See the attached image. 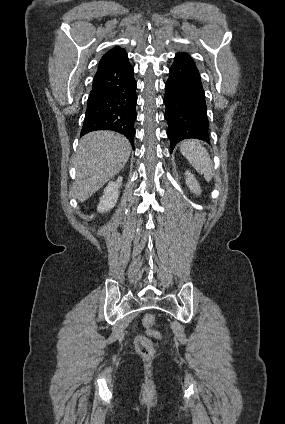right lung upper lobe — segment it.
Wrapping results in <instances>:
<instances>
[{"mask_svg": "<svg viewBox=\"0 0 285 424\" xmlns=\"http://www.w3.org/2000/svg\"><path fill=\"white\" fill-rule=\"evenodd\" d=\"M125 58H127L126 51L123 48L114 47L113 49L109 50L106 54L103 55V57L101 58L99 62V67L109 63L120 61Z\"/></svg>", "mask_w": 285, "mask_h": 424, "instance_id": "1", "label": "right lung upper lobe"}]
</instances>
